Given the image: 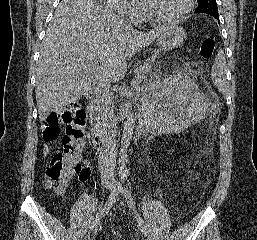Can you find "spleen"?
<instances>
[{
  "mask_svg": "<svg viewBox=\"0 0 257 240\" xmlns=\"http://www.w3.org/2000/svg\"><path fill=\"white\" fill-rule=\"evenodd\" d=\"M226 70H227L226 59L224 56V52L221 50L218 52L215 58V62L212 66L211 77L215 86L222 93L226 91V87H227ZM183 126L185 127L186 125H183Z\"/></svg>",
  "mask_w": 257,
  "mask_h": 240,
  "instance_id": "obj_1",
  "label": "spleen"
}]
</instances>
